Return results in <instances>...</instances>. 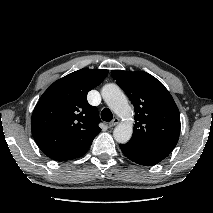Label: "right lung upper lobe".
<instances>
[{
    "label": "right lung upper lobe",
    "mask_w": 213,
    "mask_h": 213,
    "mask_svg": "<svg viewBox=\"0 0 213 213\" xmlns=\"http://www.w3.org/2000/svg\"><path fill=\"white\" fill-rule=\"evenodd\" d=\"M108 72L83 68L55 81L41 96L32 114L31 130L46 156L58 159L89 149L101 131V120L97 108L88 103L87 93Z\"/></svg>",
    "instance_id": "1"
}]
</instances>
